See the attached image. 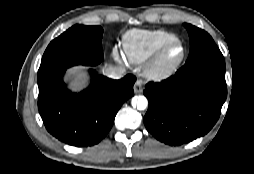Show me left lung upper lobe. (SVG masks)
<instances>
[{
    "label": "left lung upper lobe",
    "instance_id": "left-lung-upper-lobe-1",
    "mask_svg": "<svg viewBox=\"0 0 254 174\" xmlns=\"http://www.w3.org/2000/svg\"><path fill=\"white\" fill-rule=\"evenodd\" d=\"M183 25L190 38L189 57L183 68L188 69L200 65H214L225 68L224 57L212 37L206 31L191 24L184 23Z\"/></svg>",
    "mask_w": 254,
    "mask_h": 174
}]
</instances>
